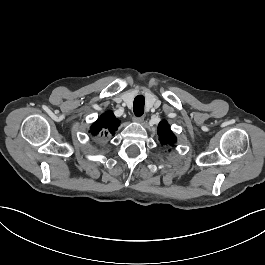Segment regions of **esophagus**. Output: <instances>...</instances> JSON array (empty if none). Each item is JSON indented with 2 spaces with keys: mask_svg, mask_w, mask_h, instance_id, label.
<instances>
[{
  "mask_svg": "<svg viewBox=\"0 0 265 265\" xmlns=\"http://www.w3.org/2000/svg\"><path fill=\"white\" fill-rule=\"evenodd\" d=\"M132 121L135 123L141 124L144 121V118L141 116L140 117L135 116L133 117Z\"/></svg>",
  "mask_w": 265,
  "mask_h": 265,
  "instance_id": "obj_1",
  "label": "esophagus"
}]
</instances>
